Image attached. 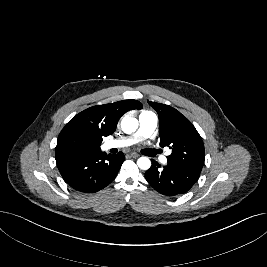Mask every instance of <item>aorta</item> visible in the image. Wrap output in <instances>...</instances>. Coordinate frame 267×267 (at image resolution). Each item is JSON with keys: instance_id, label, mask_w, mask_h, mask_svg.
Listing matches in <instances>:
<instances>
[{"instance_id": "762f6f07", "label": "aorta", "mask_w": 267, "mask_h": 267, "mask_svg": "<svg viewBox=\"0 0 267 267\" xmlns=\"http://www.w3.org/2000/svg\"><path fill=\"white\" fill-rule=\"evenodd\" d=\"M138 120L134 117L125 116L121 121V129L126 134L135 132L138 128ZM137 165L142 170H148L151 167V161L148 157H140L137 160Z\"/></svg>"}]
</instances>
